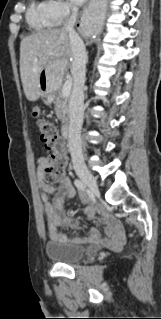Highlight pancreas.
Here are the masks:
<instances>
[{"mask_svg":"<svg viewBox=\"0 0 161 319\" xmlns=\"http://www.w3.org/2000/svg\"><path fill=\"white\" fill-rule=\"evenodd\" d=\"M53 103L55 104V112L58 119L63 123L67 124L68 122V105H69V97L63 96L62 92L55 93L52 95Z\"/></svg>","mask_w":161,"mask_h":319,"instance_id":"cf45deb5","label":"pancreas"}]
</instances>
